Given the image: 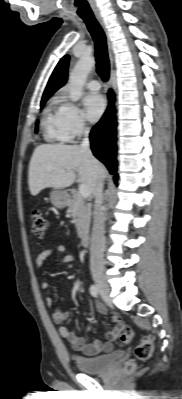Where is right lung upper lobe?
<instances>
[{
    "label": "right lung upper lobe",
    "mask_w": 182,
    "mask_h": 399,
    "mask_svg": "<svg viewBox=\"0 0 182 399\" xmlns=\"http://www.w3.org/2000/svg\"><path fill=\"white\" fill-rule=\"evenodd\" d=\"M69 56H64L55 67L42 98H49L56 90L67 81Z\"/></svg>",
    "instance_id": "right-lung-upper-lobe-1"
}]
</instances>
